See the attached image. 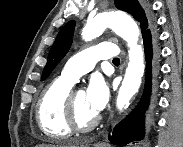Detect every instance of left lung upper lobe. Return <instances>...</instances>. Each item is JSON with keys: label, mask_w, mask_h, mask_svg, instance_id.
Wrapping results in <instances>:
<instances>
[{"label": "left lung upper lobe", "mask_w": 183, "mask_h": 147, "mask_svg": "<svg viewBox=\"0 0 183 147\" xmlns=\"http://www.w3.org/2000/svg\"><path fill=\"white\" fill-rule=\"evenodd\" d=\"M115 5L119 10L131 14L140 23L142 35L151 31L153 28V20L146 16L138 0H115ZM74 28L75 22L69 21L59 31L49 51L47 64L44 67L41 80H45L49 76L68 52L72 43Z\"/></svg>", "instance_id": "left-lung-upper-lobe-1"}]
</instances>
